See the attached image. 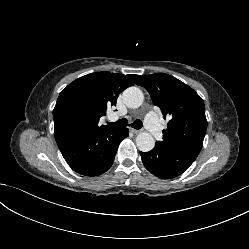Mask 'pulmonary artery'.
<instances>
[{
	"label": "pulmonary artery",
	"instance_id": "obj_1",
	"mask_svg": "<svg viewBox=\"0 0 249 249\" xmlns=\"http://www.w3.org/2000/svg\"><path fill=\"white\" fill-rule=\"evenodd\" d=\"M144 123L146 128L156 139H161L162 130L160 128L159 120L155 112L150 111L149 113H147L144 119Z\"/></svg>",
	"mask_w": 249,
	"mask_h": 249
}]
</instances>
